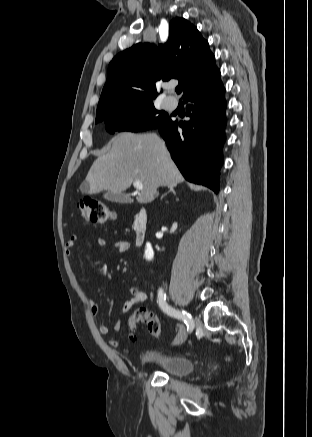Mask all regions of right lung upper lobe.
<instances>
[{
  "label": "right lung upper lobe",
  "instance_id": "1",
  "mask_svg": "<svg viewBox=\"0 0 312 437\" xmlns=\"http://www.w3.org/2000/svg\"><path fill=\"white\" fill-rule=\"evenodd\" d=\"M218 72L214 55L197 28L183 18H175L164 45L138 43L113 58L96 119L128 105L152 102L157 97L158 80L178 79L185 95Z\"/></svg>",
  "mask_w": 312,
  "mask_h": 437
}]
</instances>
